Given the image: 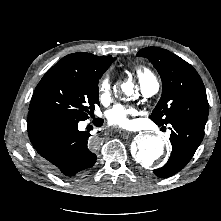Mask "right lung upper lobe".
I'll return each instance as SVG.
<instances>
[{
	"instance_id": "1",
	"label": "right lung upper lobe",
	"mask_w": 221,
	"mask_h": 221,
	"mask_svg": "<svg viewBox=\"0 0 221 221\" xmlns=\"http://www.w3.org/2000/svg\"><path fill=\"white\" fill-rule=\"evenodd\" d=\"M113 61L112 56L99 57L91 53L78 52L63 57L56 65L68 66L79 71L93 72L110 66Z\"/></svg>"
}]
</instances>
